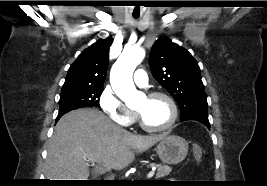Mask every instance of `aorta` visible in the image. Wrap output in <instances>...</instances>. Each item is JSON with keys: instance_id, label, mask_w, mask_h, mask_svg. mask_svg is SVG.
<instances>
[{"instance_id": "1", "label": "aorta", "mask_w": 267, "mask_h": 186, "mask_svg": "<svg viewBox=\"0 0 267 186\" xmlns=\"http://www.w3.org/2000/svg\"><path fill=\"white\" fill-rule=\"evenodd\" d=\"M145 57V51L139 47L125 49L110 72V83L116 95L127 105L138 101L141 93L137 91L132 75Z\"/></svg>"}]
</instances>
